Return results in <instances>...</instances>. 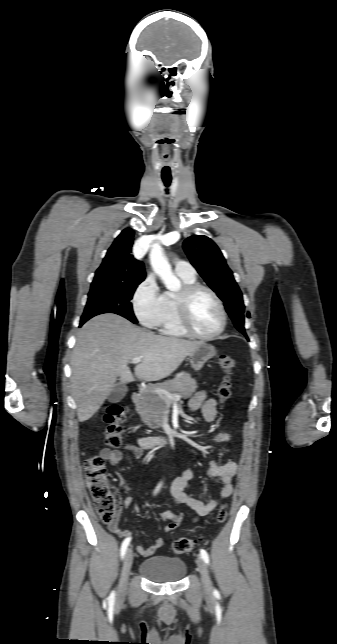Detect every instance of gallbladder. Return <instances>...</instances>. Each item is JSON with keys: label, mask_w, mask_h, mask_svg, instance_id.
Instances as JSON below:
<instances>
[{"label": "gallbladder", "mask_w": 337, "mask_h": 644, "mask_svg": "<svg viewBox=\"0 0 337 644\" xmlns=\"http://www.w3.org/2000/svg\"><path fill=\"white\" fill-rule=\"evenodd\" d=\"M128 391V388L124 384H117L114 389L111 391L110 395L108 396V400L111 403H117L121 401L126 393Z\"/></svg>", "instance_id": "obj_1"}]
</instances>
